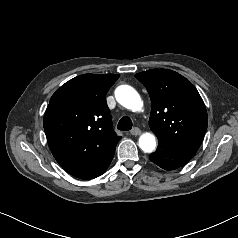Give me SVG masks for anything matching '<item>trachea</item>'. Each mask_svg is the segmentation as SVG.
<instances>
[{"mask_svg":"<svg viewBox=\"0 0 238 238\" xmlns=\"http://www.w3.org/2000/svg\"><path fill=\"white\" fill-rule=\"evenodd\" d=\"M117 128L121 131H128L132 128V121L129 117L125 116L119 121Z\"/></svg>","mask_w":238,"mask_h":238,"instance_id":"1","label":"trachea"}]
</instances>
